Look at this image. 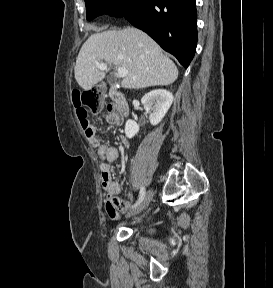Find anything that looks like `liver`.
Wrapping results in <instances>:
<instances>
[{"mask_svg":"<svg viewBox=\"0 0 273 288\" xmlns=\"http://www.w3.org/2000/svg\"><path fill=\"white\" fill-rule=\"evenodd\" d=\"M126 68L128 74L121 82L125 89H143L172 84L178 77L176 65L163 54L160 46L143 31L127 27L91 35L76 59L75 79L88 91L102 81L106 73L96 62Z\"/></svg>","mask_w":273,"mask_h":288,"instance_id":"1","label":"liver"}]
</instances>
